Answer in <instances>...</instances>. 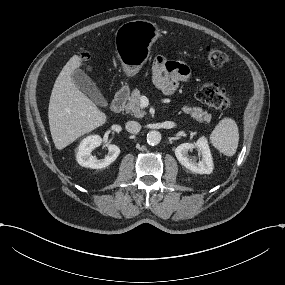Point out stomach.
Segmentation results:
<instances>
[{"label": "stomach", "instance_id": "1", "mask_svg": "<svg viewBox=\"0 0 285 285\" xmlns=\"http://www.w3.org/2000/svg\"><path fill=\"white\" fill-rule=\"evenodd\" d=\"M160 36L155 23L133 20L122 24L115 33V47L123 71L134 76L146 63L152 44Z\"/></svg>", "mask_w": 285, "mask_h": 285}]
</instances>
